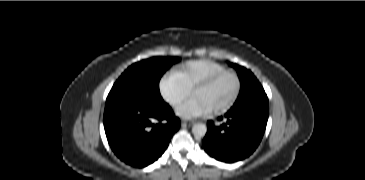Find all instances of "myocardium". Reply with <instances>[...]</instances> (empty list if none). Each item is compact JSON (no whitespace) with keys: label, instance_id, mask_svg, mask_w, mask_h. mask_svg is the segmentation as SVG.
I'll list each match as a JSON object with an SVG mask.
<instances>
[{"label":"myocardium","instance_id":"f54148a6","mask_svg":"<svg viewBox=\"0 0 365 180\" xmlns=\"http://www.w3.org/2000/svg\"><path fill=\"white\" fill-rule=\"evenodd\" d=\"M233 76L235 81H236V89L235 92L233 93L232 97L223 105L213 108V112L214 113H222L227 111L228 109H230L237 101L240 93H241V89H242V82H241V78L240 76L233 70H226L223 71L215 76H213L212 78H210L209 80H207L198 90L201 91L211 85H213L214 83L220 81L222 78L226 77V76Z\"/></svg>","mask_w":365,"mask_h":180}]
</instances>
